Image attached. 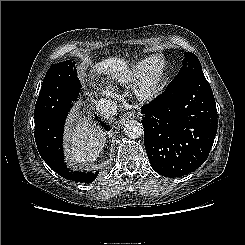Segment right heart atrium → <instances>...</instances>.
Wrapping results in <instances>:
<instances>
[{
  "label": "right heart atrium",
  "instance_id": "obj_1",
  "mask_svg": "<svg viewBox=\"0 0 245 245\" xmlns=\"http://www.w3.org/2000/svg\"><path fill=\"white\" fill-rule=\"evenodd\" d=\"M102 94L109 96V95H111V92L108 89H103Z\"/></svg>",
  "mask_w": 245,
  "mask_h": 245
}]
</instances>
